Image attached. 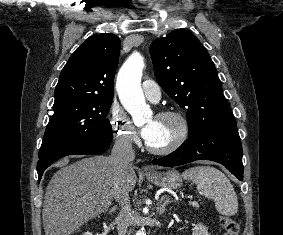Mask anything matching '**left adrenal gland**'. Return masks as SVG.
<instances>
[{
	"instance_id": "left-adrenal-gland-1",
	"label": "left adrenal gland",
	"mask_w": 283,
	"mask_h": 235,
	"mask_svg": "<svg viewBox=\"0 0 283 235\" xmlns=\"http://www.w3.org/2000/svg\"><path fill=\"white\" fill-rule=\"evenodd\" d=\"M172 201H171V198L170 196H163L161 199H160V202L157 204V212L162 215L165 210H166V206L168 204H170Z\"/></svg>"
}]
</instances>
